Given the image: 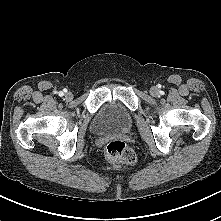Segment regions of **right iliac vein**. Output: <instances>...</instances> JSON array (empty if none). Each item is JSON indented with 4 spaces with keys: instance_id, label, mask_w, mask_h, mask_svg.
Returning <instances> with one entry per match:
<instances>
[{
    "instance_id": "1",
    "label": "right iliac vein",
    "mask_w": 221,
    "mask_h": 221,
    "mask_svg": "<svg viewBox=\"0 0 221 221\" xmlns=\"http://www.w3.org/2000/svg\"><path fill=\"white\" fill-rule=\"evenodd\" d=\"M65 98H66L67 100H71V99L73 98V94H72L71 92H67V93L65 94Z\"/></svg>"
}]
</instances>
